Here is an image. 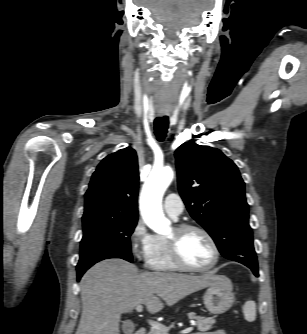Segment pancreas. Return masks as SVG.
<instances>
[{"instance_id": "obj_1", "label": "pancreas", "mask_w": 307, "mask_h": 334, "mask_svg": "<svg viewBox=\"0 0 307 334\" xmlns=\"http://www.w3.org/2000/svg\"><path fill=\"white\" fill-rule=\"evenodd\" d=\"M187 316L189 319H193L196 321L197 329L200 332H204V331L212 329L213 324L216 321L215 317H201V316H197L195 313H188ZM200 332L196 334H204ZM148 334H164V333L156 331V330H151Z\"/></svg>"}]
</instances>
